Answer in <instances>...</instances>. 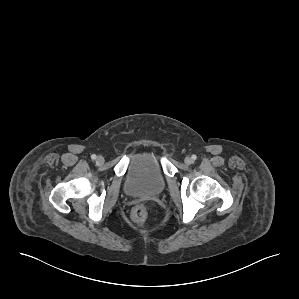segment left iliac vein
<instances>
[{"mask_svg":"<svg viewBox=\"0 0 299 299\" xmlns=\"http://www.w3.org/2000/svg\"><path fill=\"white\" fill-rule=\"evenodd\" d=\"M184 162L186 165H190V164H192V159L190 157H186Z\"/></svg>","mask_w":299,"mask_h":299,"instance_id":"4c4485c4","label":"left iliac vein"}]
</instances>
